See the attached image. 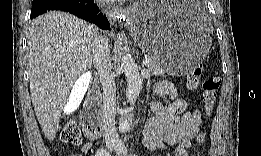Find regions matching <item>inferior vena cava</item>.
<instances>
[{
	"mask_svg": "<svg viewBox=\"0 0 261 156\" xmlns=\"http://www.w3.org/2000/svg\"><path fill=\"white\" fill-rule=\"evenodd\" d=\"M93 64L97 69L103 89V119L102 128L107 145L121 143L115 127L116 88L112 74V62L108 42L102 36L96 35L93 42Z\"/></svg>",
	"mask_w": 261,
	"mask_h": 156,
	"instance_id": "inferior-vena-cava-1",
	"label": "inferior vena cava"
}]
</instances>
